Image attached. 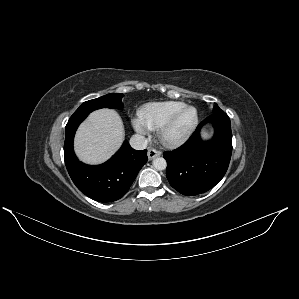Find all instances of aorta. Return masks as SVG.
Here are the masks:
<instances>
[{"mask_svg": "<svg viewBox=\"0 0 299 299\" xmlns=\"http://www.w3.org/2000/svg\"><path fill=\"white\" fill-rule=\"evenodd\" d=\"M153 167L156 170H164L167 167V162L163 157H158L153 160Z\"/></svg>", "mask_w": 299, "mask_h": 299, "instance_id": "762f6f07", "label": "aorta"}]
</instances>
